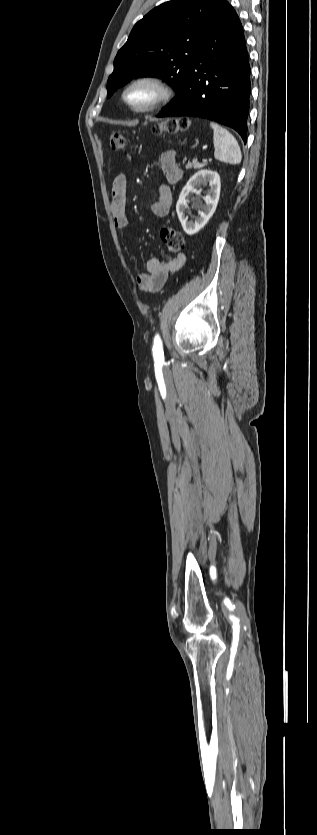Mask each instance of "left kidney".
<instances>
[{
	"label": "left kidney",
	"instance_id": "5707ae66",
	"mask_svg": "<svg viewBox=\"0 0 317 835\" xmlns=\"http://www.w3.org/2000/svg\"><path fill=\"white\" fill-rule=\"evenodd\" d=\"M202 183H209L207 195L203 198L205 204L197 206L198 209L201 208L202 211L198 212L199 216L195 219V221H188L186 215L189 203L188 197L190 193L195 190V187ZM220 188V176L217 172L211 170H199L188 180L187 184L182 189L176 204L178 218L184 231L188 235H193L200 231L212 217L219 201Z\"/></svg>",
	"mask_w": 317,
	"mask_h": 835
}]
</instances>
